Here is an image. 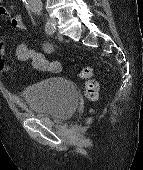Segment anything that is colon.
Returning a JSON list of instances; mask_svg holds the SVG:
<instances>
[{
  "label": "colon",
  "instance_id": "obj_1",
  "mask_svg": "<svg viewBox=\"0 0 143 170\" xmlns=\"http://www.w3.org/2000/svg\"><path fill=\"white\" fill-rule=\"evenodd\" d=\"M60 65L55 67V70L58 71ZM80 77L85 81V92L86 96L90 100H96L99 94V85L97 81L92 78V70L90 67H84L81 70Z\"/></svg>",
  "mask_w": 143,
  "mask_h": 170
}]
</instances>
